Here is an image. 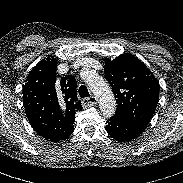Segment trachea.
<instances>
[{
	"label": "trachea",
	"mask_w": 183,
	"mask_h": 183,
	"mask_svg": "<svg viewBox=\"0 0 183 183\" xmlns=\"http://www.w3.org/2000/svg\"><path fill=\"white\" fill-rule=\"evenodd\" d=\"M78 93H79V96H80L81 98L89 97L88 89H87V87L84 86V85H81V86L79 87Z\"/></svg>",
	"instance_id": "trachea-1"
}]
</instances>
